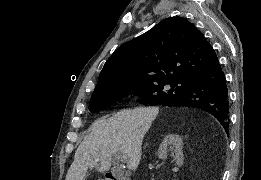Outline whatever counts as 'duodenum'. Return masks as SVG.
Instances as JSON below:
<instances>
[{
	"instance_id": "410a0bca",
	"label": "duodenum",
	"mask_w": 261,
	"mask_h": 180,
	"mask_svg": "<svg viewBox=\"0 0 261 180\" xmlns=\"http://www.w3.org/2000/svg\"><path fill=\"white\" fill-rule=\"evenodd\" d=\"M105 180H129V177H122L121 173H106Z\"/></svg>"
}]
</instances>
